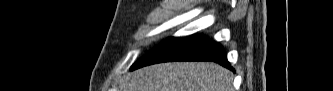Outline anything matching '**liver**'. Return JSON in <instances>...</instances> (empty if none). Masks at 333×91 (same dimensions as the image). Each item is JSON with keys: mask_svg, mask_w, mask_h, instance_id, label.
Returning a JSON list of instances; mask_svg holds the SVG:
<instances>
[{"mask_svg": "<svg viewBox=\"0 0 333 91\" xmlns=\"http://www.w3.org/2000/svg\"><path fill=\"white\" fill-rule=\"evenodd\" d=\"M232 84V72L215 63H163L133 72L129 91H233Z\"/></svg>", "mask_w": 333, "mask_h": 91, "instance_id": "6515ba94", "label": "liver"}]
</instances>
